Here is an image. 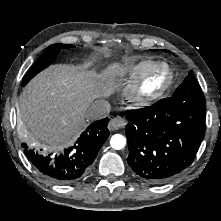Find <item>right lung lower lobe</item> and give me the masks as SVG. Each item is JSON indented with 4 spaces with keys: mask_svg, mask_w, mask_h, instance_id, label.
<instances>
[{
    "mask_svg": "<svg viewBox=\"0 0 221 221\" xmlns=\"http://www.w3.org/2000/svg\"><path fill=\"white\" fill-rule=\"evenodd\" d=\"M109 119L91 124L72 147L60 152L30 149L22 144L32 165L46 178L60 184H68L83 178L91 168L98 151L109 136Z\"/></svg>",
    "mask_w": 221,
    "mask_h": 221,
    "instance_id": "98d812e1",
    "label": "right lung lower lobe"
}]
</instances>
